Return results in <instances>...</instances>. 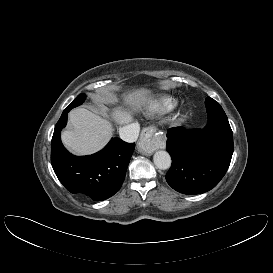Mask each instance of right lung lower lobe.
Wrapping results in <instances>:
<instances>
[{
	"label": "right lung lower lobe",
	"instance_id": "98d812e1",
	"mask_svg": "<svg viewBox=\"0 0 273 273\" xmlns=\"http://www.w3.org/2000/svg\"><path fill=\"white\" fill-rule=\"evenodd\" d=\"M68 112L69 110L63 111L51 141V164L54 172L71 193L86 195L94 201L105 200L120 189L135 144L113 138L98 153L74 156L64 148L60 139Z\"/></svg>",
	"mask_w": 273,
	"mask_h": 273
}]
</instances>
